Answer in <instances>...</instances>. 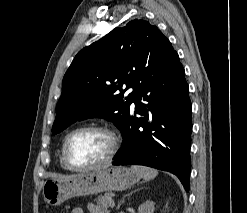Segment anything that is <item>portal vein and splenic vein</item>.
<instances>
[{
    "mask_svg": "<svg viewBox=\"0 0 247 213\" xmlns=\"http://www.w3.org/2000/svg\"><path fill=\"white\" fill-rule=\"evenodd\" d=\"M114 206H115V202H114V200H111L110 201V207L113 208Z\"/></svg>",
    "mask_w": 247,
    "mask_h": 213,
    "instance_id": "portal-vein-and-splenic-vein-1",
    "label": "portal vein and splenic vein"
}]
</instances>
